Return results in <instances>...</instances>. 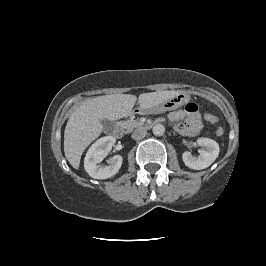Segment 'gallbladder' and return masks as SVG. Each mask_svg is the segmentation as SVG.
<instances>
[{
  "instance_id": "obj_1",
  "label": "gallbladder",
  "mask_w": 266,
  "mask_h": 266,
  "mask_svg": "<svg viewBox=\"0 0 266 266\" xmlns=\"http://www.w3.org/2000/svg\"><path fill=\"white\" fill-rule=\"evenodd\" d=\"M105 131H112L114 129V122L108 119L101 120Z\"/></svg>"
}]
</instances>
